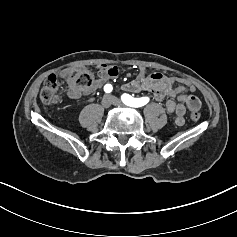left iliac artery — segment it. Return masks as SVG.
Segmentation results:
<instances>
[{"label": "left iliac artery", "mask_w": 237, "mask_h": 237, "mask_svg": "<svg viewBox=\"0 0 237 237\" xmlns=\"http://www.w3.org/2000/svg\"><path fill=\"white\" fill-rule=\"evenodd\" d=\"M121 99L127 106L135 108L142 107L149 102L148 97L134 98L126 93L121 96Z\"/></svg>", "instance_id": "obj_1"}]
</instances>
